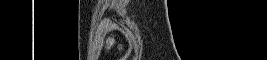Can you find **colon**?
<instances>
[{"instance_id": "colon-1", "label": "colon", "mask_w": 267, "mask_h": 60, "mask_svg": "<svg viewBox=\"0 0 267 60\" xmlns=\"http://www.w3.org/2000/svg\"><path fill=\"white\" fill-rule=\"evenodd\" d=\"M115 49V42L113 39H110L107 43V51H112Z\"/></svg>"}]
</instances>
